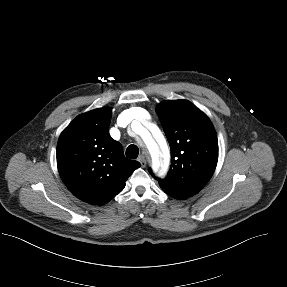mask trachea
I'll return each mask as SVG.
<instances>
[{
	"label": "trachea",
	"mask_w": 287,
	"mask_h": 287,
	"mask_svg": "<svg viewBox=\"0 0 287 287\" xmlns=\"http://www.w3.org/2000/svg\"><path fill=\"white\" fill-rule=\"evenodd\" d=\"M139 154V149L136 145H129L126 149V156L130 159H136Z\"/></svg>",
	"instance_id": "trachea-1"
}]
</instances>
